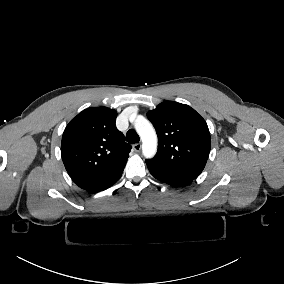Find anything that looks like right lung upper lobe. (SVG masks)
Masks as SVG:
<instances>
[{
  "instance_id": "1",
  "label": "right lung upper lobe",
  "mask_w": 284,
  "mask_h": 284,
  "mask_svg": "<svg viewBox=\"0 0 284 284\" xmlns=\"http://www.w3.org/2000/svg\"><path fill=\"white\" fill-rule=\"evenodd\" d=\"M116 117L114 109L87 108L64 130V166L77 186L86 191H102L122 175L131 146L116 128Z\"/></svg>"
}]
</instances>
